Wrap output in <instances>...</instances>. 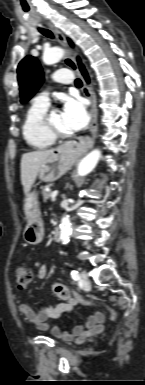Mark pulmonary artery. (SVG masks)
I'll use <instances>...</instances> for the list:
<instances>
[{
  "label": "pulmonary artery",
  "instance_id": "obj_1",
  "mask_svg": "<svg viewBox=\"0 0 145 385\" xmlns=\"http://www.w3.org/2000/svg\"><path fill=\"white\" fill-rule=\"evenodd\" d=\"M53 78L55 79V81L63 84H68L73 81V75L66 69H60L54 72ZM35 102L48 106L49 105L48 93L43 92L40 95H38L35 98Z\"/></svg>",
  "mask_w": 145,
  "mask_h": 385
}]
</instances>
